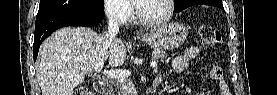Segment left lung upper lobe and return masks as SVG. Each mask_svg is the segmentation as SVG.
Instances as JSON below:
<instances>
[{
  "label": "left lung upper lobe",
  "mask_w": 277,
  "mask_h": 95,
  "mask_svg": "<svg viewBox=\"0 0 277 95\" xmlns=\"http://www.w3.org/2000/svg\"><path fill=\"white\" fill-rule=\"evenodd\" d=\"M202 2H208L214 5H222V0H175V12H180L190 6L200 4Z\"/></svg>",
  "instance_id": "1"
}]
</instances>
